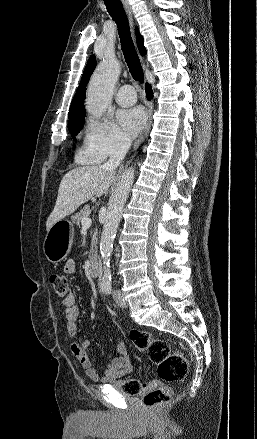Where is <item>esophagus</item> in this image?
I'll list each match as a JSON object with an SVG mask.
<instances>
[{"label":"esophagus","mask_w":257,"mask_h":439,"mask_svg":"<svg viewBox=\"0 0 257 439\" xmlns=\"http://www.w3.org/2000/svg\"><path fill=\"white\" fill-rule=\"evenodd\" d=\"M122 4L124 6V9L127 13V16L129 18L130 24L133 27V14H132V10L131 7L129 6L127 0H121ZM153 102L150 101L148 103V119H147V125L145 127L144 132L141 134V136L135 141L134 145H133V150H136L140 144L145 140V138L147 137L149 130L151 128V123H152V113H153Z\"/></svg>","instance_id":"1"}]
</instances>
